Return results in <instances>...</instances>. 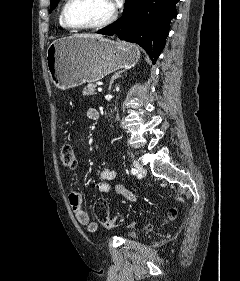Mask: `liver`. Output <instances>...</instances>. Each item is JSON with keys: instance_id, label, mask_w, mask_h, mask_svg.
<instances>
[{"instance_id": "6515ba94", "label": "liver", "mask_w": 240, "mask_h": 281, "mask_svg": "<svg viewBox=\"0 0 240 281\" xmlns=\"http://www.w3.org/2000/svg\"><path fill=\"white\" fill-rule=\"evenodd\" d=\"M75 36H83V37H92V38H100V35H89V34H77Z\"/></svg>"}]
</instances>
